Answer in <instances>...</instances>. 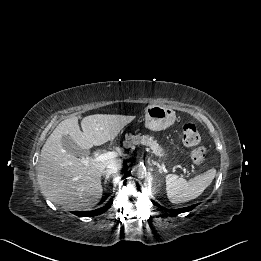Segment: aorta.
Returning <instances> with one entry per match:
<instances>
[{"mask_svg":"<svg viewBox=\"0 0 261 261\" xmlns=\"http://www.w3.org/2000/svg\"><path fill=\"white\" fill-rule=\"evenodd\" d=\"M145 168L141 165H136L133 168V173L138 177H143L145 175Z\"/></svg>","mask_w":261,"mask_h":261,"instance_id":"obj_1","label":"aorta"}]
</instances>
